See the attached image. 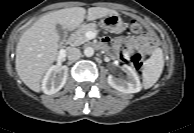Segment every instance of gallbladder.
<instances>
[{"label":"gallbladder","instance_id":"gallbladder-1","mask_svg":"<svg viewBox=\"0 0 194 133\" xmlns=\"http://www.w3.org/2000/svg\"><path fill=\"white\" fill-rule=\"evenodd\" d=\"M56 30L59 34L60 39L64 38L66 32L65 29L61 25H57Z\"/></svg>","mask_w":194,"mask_h":133}]
</instances>
